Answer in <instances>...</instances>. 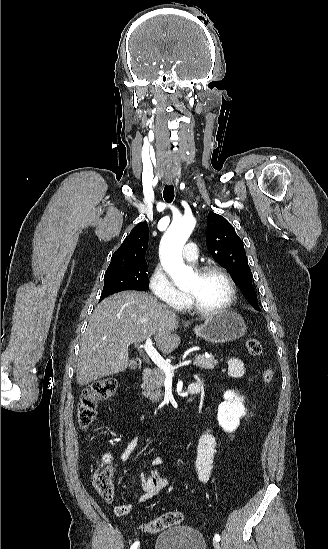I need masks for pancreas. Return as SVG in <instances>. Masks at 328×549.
<instances>
[{"label":"pancreas","instance_id":"cf45deb5","mask_svg":"<svg viewBox=\"0 0 328 549\" xmlns=\"http://www.w3.org/2000/svg\"><path fill=\"white\" fill-rule=\"evenodd\" d=\"M193 365L201 367V369H214L215 365H218V361H215L213 355L205 357V355H196ZM165 373L162 369H153L151 377L144 379L141 389H143L145 395L149 397L153 403H159L163 397V393L160 387H164Z\"/></svg>","mask_w":328,"mask_h":549}]
</instances>
